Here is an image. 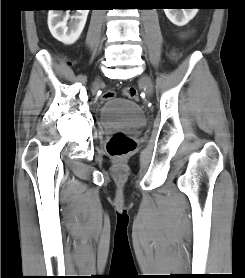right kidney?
Listing matches in <instances>:
<instances>
[{
  "instance_id": "right-kidney-1",
  "label": "right kidney",
  "mask_w": 245,
  "mask_h": 278,
  "mask_svg": "<svg viewBox=\"0 0 245 278\" xmlns=\"http://www.w3.org/2000/svg\"><path fill=\"white\" fill-rule=\"evenodd\" d=\"M88 12L89 10H76L73 16L68 13L62 16V10H49L48 27L52 36L66 45L76 42L84 29Z\"/></svg>"
}]
</instances>
